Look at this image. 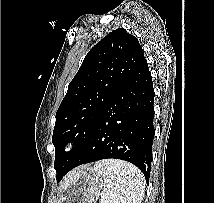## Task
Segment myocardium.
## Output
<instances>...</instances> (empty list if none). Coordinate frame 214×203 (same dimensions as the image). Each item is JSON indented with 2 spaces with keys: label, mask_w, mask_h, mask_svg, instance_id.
I'll return each mask as SVG.
<instances>
[{
  "label": "myocardium",
  "mask_w": 214,
  "mask_h": 203,
  "mask_svg": "<svg viewBox=\"0 0 214 203\" xmlns=\"http://www.w3.org/2000/svg\"><path fill=\"white\" fill-rule=\"evenodd\" d=\"M76 147V142H74L73 140L68 141L63 148L64 153H70L71 151H73Z\"/></svg>",
  "instance_id": "f54148a6"
}]
</instances>
